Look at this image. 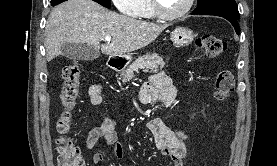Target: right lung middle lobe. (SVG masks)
<instances>
[{
  "label": "right lung middle lobe",
  "instance_id": "1",
  "mask_svg": "<svg viewBox=\"0 0 277 166\" xmlns=\"http://www.w3.org/2000/svg\"><path fill=\"white\" fill-rule=\"evenodd\" d=\"M61 0H51V4L55 3V2H59ZM97 3H99L100 5L106 7V8H110V0H93Z\"/></svg>",
  "mask_w": 277,
  "mask_h": 166
}]
</instances>
